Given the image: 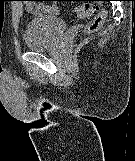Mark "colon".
<instances>
[{
    "label": "colon",
    "mask_w": 135,
    "mask_h": 161,
    "mask_svg": "<svg viewBox=\"0 0 135 161\" xmlns=\"http://www.w3.org/2000/svg\"><path fill=\"white\" fill-rule=\"evenodd\" d=\"M94 6L90 3L80 4L75 8V13L82 18H89L94 13ZM107 18V10H100L87 24L85 31L86 33L97 32L104 24Z\"/></svg>",
    "instance_id": "1"
}]
</instances>
